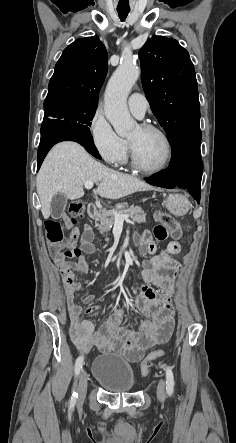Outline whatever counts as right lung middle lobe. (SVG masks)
<instances>
[{
	"label": "right lung middle lobe",
	"mask_w": 236,
	"mask_h": 443,
	"mask_svg": "<svg viewBox=\"0 0 236 443\" xmlns=\"http://www.w3.org/2000/svg\"><path fill=\"white\" fill-rule=\"evenodd\" d=\"M97 105L88 104L74 99H54L44 102V119L69 122L79 131L91 134L89 126L95 115Z\"/></svg>",
	"instance_id": "dd1d6c3e"
}]
</instances>
